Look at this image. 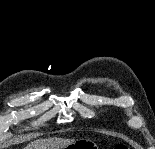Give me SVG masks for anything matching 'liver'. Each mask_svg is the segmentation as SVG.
<instances>
[{"label": "liver", "instance_id": "obj_1", "mask_svg": "<svg viewBox=\"0 0 155 149\" xmlns=\"http://www.w3.org/2000/svg\"><path fill=\"white\" fill-rule=\"evenodd\" d=\"M72 142H74V140L57 137L38 139L28 144L25 149H60Z\"/></svg>", "mask_w": 155, "mask_h": 149}]
</instances>
